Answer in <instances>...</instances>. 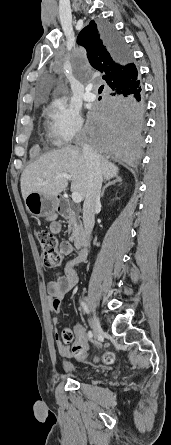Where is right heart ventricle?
Segmentation results:
<instances>
[{"label": "right heart ventricle", "mask_w": 171, "mask_h": 445, "mask_svg": "<svg viewBox=\"0 0 171 445\" xmlns=\"http://www.w3.org/2000/svg\"><path fill=\"white\" fill-rule=\"evenodd\" d=\"M46 126H47V136H48V138L53 139V135H52V132H51V127L49 125H46Z\"/></svg>", "instance_id": "1"}]
</instances>
